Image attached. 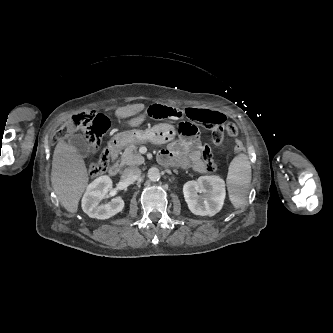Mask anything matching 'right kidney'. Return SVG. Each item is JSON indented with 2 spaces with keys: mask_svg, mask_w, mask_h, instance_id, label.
Listing matches in <instances>:
<instances>
[{
  "mask_svg": "<svg viewBox=\"0 0 333 333\" xmlns=\"http://www.w3.org/2000/svg\"><path fill=\"white\" fill-rule=\"evenodd\" d=\"M112 188L109 176H100L91 182L82 198V209L91 218L108 219L122 211L124 201L121 197L113 198L107 204H99Z\"/></svg>",
  "mask_w": 333,
  "mask_h": 333,
  "instance_id": "1",
  "label": "right kidney"
}]
</instances>
